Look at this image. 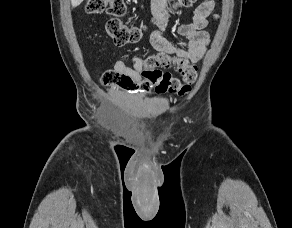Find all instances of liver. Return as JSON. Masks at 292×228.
I'll use <instances>...</instances> for the list:
<instances>
[{
    "instance_id": "obj_1",
    "label": "liver",
    "mask_w": 292,
    "mask_h": 228,
    "mask_svg": "<svg viewBox=\"0 0 292 228\" xmlns=\"http://www.w3.org/2000/svg\"><path fill=\"white\" fill-rule=\"evenodd\" d=\"M83 0H71L72 7H77Z\"/></svg>"
}]
</instances>
